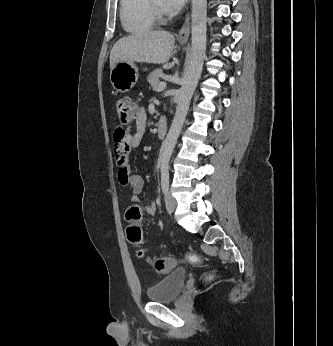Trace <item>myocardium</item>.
Wrapping results in <instances>:
<instances>
[{
	"instance_id": "f54148a6",
	"label": "myocardium",
	"mask_w": 333,
	"mask_h": 346,
	"mask_svg": "<svg viewBox=\"0 0 333 346\" xmlns=\"http://www.w3.org/2000/svg\"><path fill=\"white\" fill-rule=\"evenodd\" d=\"M150 8L154 17V20H156L159 23H164L167 21V15L164 13V11L155 3L154 0H149Z\"/></svg>"
}]
</instances>
